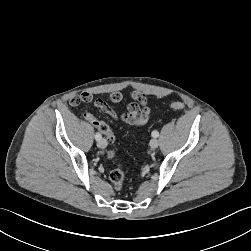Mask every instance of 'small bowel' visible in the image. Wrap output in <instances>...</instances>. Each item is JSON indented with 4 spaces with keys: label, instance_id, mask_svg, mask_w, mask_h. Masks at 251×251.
<instances>
[{
    "label": "small bowel",
    "instance_id": "1",
    "mask_svg": "<svg viewBox=\"0 0 251 251\" xmlns=\"http://www.w3.org/2000/svg\"><path fill=\"white\" fill-rule=\"evenodd\" d=\"M131 102L128 104L124 113L118 114L108 102L103 99H95L90 93L84 92L71 98L72 105L80 103H89L93 101L95 108L110 116L115 121H121L127 127H141L148 122L150 109L148 107L147 98L144 93L133 90L130 93ZM123 95L121 92H112L109 96V101L113 104H118L122 101Z\"/></svg>",
    "mask_w": 251,
    "mask_h": 251
}]
</instances>
